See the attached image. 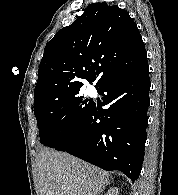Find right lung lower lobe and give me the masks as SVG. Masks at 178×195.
I'll list each match as a JSON object with an SVG mask.
<instances>
[{
	"mask_svg": "<svg viewBox=\"0 0 178 195\" xmlns=\"http://www.w3.org/2000/svg\"><path fill=\"white\" fill-rule=\"evenodd\" d=\"M150 85L147 61L105 82L98 90L107 93L103 106L109 108L93 104L73 134L54 148L136 180L144 159Z\"/></svg>",
	"mask_w": 178,
	"mask_h": 195,
	"instance_id": "1",
	"label": "right lung lower lobe"
}]
</instances>
